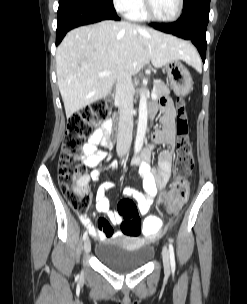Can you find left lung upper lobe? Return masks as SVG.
<instances>
[{"label":"left lung upper lobe","instance_id":"1","mask_svg":"<svg viewBox=\"0 0 247 304\" xmlns=\"http://www.w3.org/2000/svg\"><path fill=\"white\" fill-rule=\"evenodd\" d=\"M193 0H183V10H185Z\"/></svg>","mask_w":247,"mask_h":304}]
</instances>
